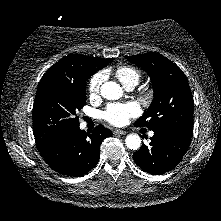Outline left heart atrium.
<instances>
[{
	"mask_svg": "<svg viewBox=\"0 0 221 221\" xmlns=\"http://www.w3.org/2000/svg\"><path fill=\"white\" fill-rule=\"evenodd\" d=\"M139 113L140 108L134 102L112 103L103 111L102 118L112 125L123 126Z\"/></svg>",
	"mask_w": 221,
	"mask_h": 221,
	"instance_id": "obj_1",
	"label": "left heart atrium"
}]
</instances>
